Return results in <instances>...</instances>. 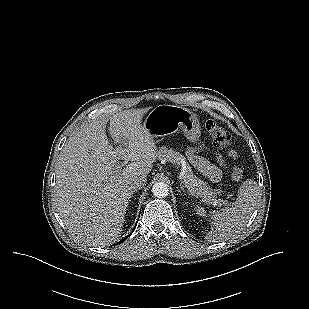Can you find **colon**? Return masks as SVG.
<instances>
[{
  "instance_id": "colon-1",
  "label": "colon",
  "mask_w": 309,
  "mask_h": 309,
  "mask_svg": "<svg viewBox=\"0 0 309 309\" xmlns=\"http://www.w3.org/2000/svg\"><path fill=\"white\" fill-rule=\"evenodd\" d=\"M206 130L213 141V143L223 150H229L231 147V137L229 133L214 121H207L205 124ZM245 171L241 165H235L232 168V179L235 182H241Z\"/></svg>"
}]
</instances>
